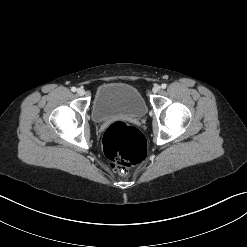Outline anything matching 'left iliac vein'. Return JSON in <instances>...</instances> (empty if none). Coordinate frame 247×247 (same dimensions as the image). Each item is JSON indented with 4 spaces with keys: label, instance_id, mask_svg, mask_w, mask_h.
<instances>
[{
    "label": "left iliac vein",
    "instance_id": "4c4485c4",
    "mask_svg": "<svg viewBox=\"0 0 247 247\" xmlns=\"http://www.w3.org/2000/svg\"><path fill=\"white\" fill-rule=\"evenodd\" d=\"M160 89H161V87L159 85H155L152 90L154 93H157L160 91Z\"/></svg>",
    "mask_w": 247,
    "mask_h": 247
}]
</instances>
